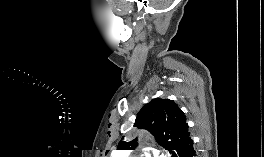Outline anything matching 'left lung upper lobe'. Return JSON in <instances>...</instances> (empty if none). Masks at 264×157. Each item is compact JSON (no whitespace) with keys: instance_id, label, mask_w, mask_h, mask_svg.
<instances>
[{"instance_id":"left-lung-upper-lobe-1","label":"left lung upper lobe","mask_w":264,"mask_h":157,"mask_svg":"<svg viewBox=\"0 0 264 157\" xmlns=\"http://www.w3.org/2000/svg\"><path fill=\"white\" fill-rule=\"evenodd\" d=\"M134 126L151 132L164 149L174 157L178 148L190 138L183 111L170 99L156 98L143 106ZM136 140L121 141L118 149H134Z\"/></svg>"}]
</instances>
